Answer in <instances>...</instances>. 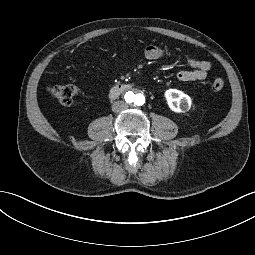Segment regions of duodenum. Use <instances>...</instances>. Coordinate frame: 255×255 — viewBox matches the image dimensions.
<instances>
[{
    "instance_id": "obj_1",
    "label": "duodenum",
    "mask_w": 255,
    "mask_h": 255,
    "mask_svg": "<svg viewBox=\"0 0 255 255\" xmlns=\"http://www.w3.org/2000/svg\"><path fill=\"white\" fill-rule=\"evenodd\" d=\"M130 88V84H116L110 89L109 95L110 97L114 98L129 90Z\"/></svg>"
}]
</instances>
